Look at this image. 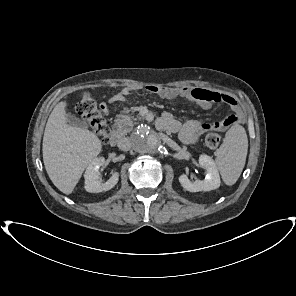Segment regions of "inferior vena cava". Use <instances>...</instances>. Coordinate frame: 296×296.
<instances>
[{"label": "inferior vena cava", "mask_w": 296, "mask_h": 296, "mask_svg": "<svg viewBox=\"0 0 296 296\" xmlns=\"http://www.w3.org/2000/svg\"><path fill=\"white\" fill-rule=\"evenodd\" d=\"M131 146H132V141L128 137L121 138L120 141H119V143H118V147L121 150H124V151L129 150L131 148Z\"/></svg>", "instance_id": "inferior-vena-cava-1"}]
</instances>
